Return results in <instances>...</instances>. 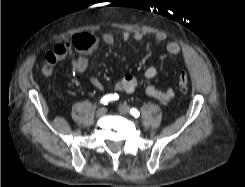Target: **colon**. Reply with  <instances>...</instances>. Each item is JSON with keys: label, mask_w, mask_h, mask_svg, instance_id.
<instances>
[{"label": "colon", "mask_w": 245, "mask_h": 187, "mask_svg": "<svg viewBox=\"0 0 245 187\" xmlns=\"http://www.w3.org/2000/svg\"><path fill=\"white\" fill-rule=\"evenodd\" d=\"M73 44L78 45V38L73 39ZM69 49L68 44H62L54 48L53 53H50L46 57L45 69L46 72H50L51 66L59 59L63 58ZM189 86V75L186 71H181L179 74V87L182 91H186Z\"/></svg>", "instance_id": "5ec220e1"}]
</instances>
